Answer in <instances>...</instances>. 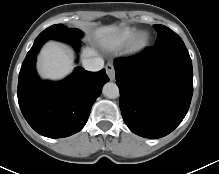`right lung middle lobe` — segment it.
<instances>
[{
  "label": "right lung middle lobe",
  "instance_id": "right-lung-middle-lobe-1",
  "mask_svg": "<svg viewBox=\"0 0 219 174\" xmlns=\"http://www.w3.org/2000/svg\"><path fill=\"white\" fill-rule=\"evenodd\" d=\"M82 33L76 28H67L62 24H56L42 31L35 39L33 45L43 44L49 39H59L61 41H78Z\"/></svg>",
  "mask_w": 219,
  "mask_h": 174
}]
</instances>
